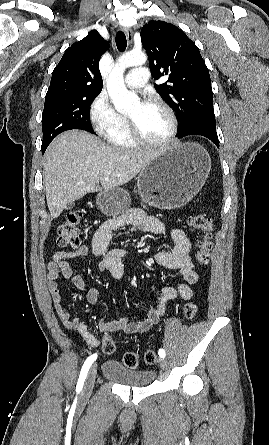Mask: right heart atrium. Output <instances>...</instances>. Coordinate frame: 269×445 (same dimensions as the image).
I'll list each match as a JSON object with an SVG mask.
<instances>
[{
	"mask_svg": "<svg viewBox=\"0 0 269 445\" xmlns=\"http://www.w3.org/2000/svg\"><path fill=\"white\" fill-rule=\"evenodd\" d=\"M90 121L99 133H105L118 119V113L106 92L99 93L89 107Z\"/></svg>",
	"mask_w": 269,
	"mask_h": 445,
	"instance_id": "d8ad5b80",
	"label": "right heart atrium"
}]
</instances>
